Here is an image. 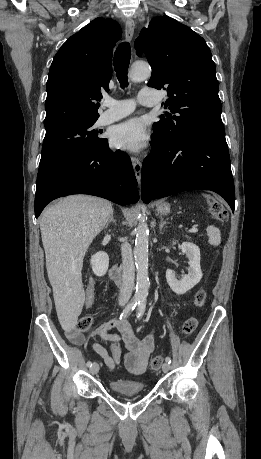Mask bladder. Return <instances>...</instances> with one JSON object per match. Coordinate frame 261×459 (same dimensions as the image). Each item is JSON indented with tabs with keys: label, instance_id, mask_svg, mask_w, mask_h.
Returning a JSON list of instances; mask_svg holds the SVG:
<instances>
[{
	"label": "bladder",
	"instance_id": "obj_1",
	"mask_svg": "<svg viewBox=\"0 0 261 459\" xmlns=\"http://www.w3.org/2000/svg\"><path fill=\"white\" fill-rule=\"evenodd\" d=\"M109 389L120 395H133L145 391L144 383L137 380L114 379L108 383Z\"/></svg>",
	"mask_w": 261,
	"mask_h": 459
}]
</instances>
